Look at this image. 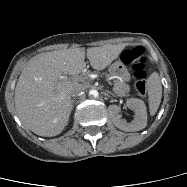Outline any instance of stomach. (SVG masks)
Returning <instances> with one entry per match:
<instances>
[{"label": "stomach", "mask_w": 187, "mask_h": 187, "mask_svg": "<svg viewBox=\"0 0 187 187\" xmlns=\"http://www.w3.org/2000/svg\"><path fill=\"white\" fill-rule=\"evenodd\" d=\"M109 73L112 77L120 81H129L130 73L122 61H116L109 67Z\"/></svg>", "instance_id": "1"}]
</instances>
